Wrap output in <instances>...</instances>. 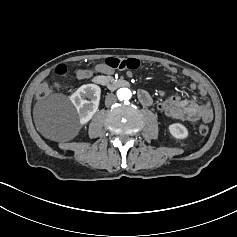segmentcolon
Instances as JSON below:
<instances>
[{"label": "colon", "instance_id": "1", "mask_svg": "<svg viewBox=\"0 0 237 237\" xmlns=\"http://www.w3.org/2000/svg\"><path fill=\"white\" fill-rule=\"evenodd\" d=\"M105 64L114 70L120 71H133L140 68V61L135 58H128V59H119V58H107L105 60ZM67 69L65 67H61L58 71L60 75H66ZM51 93V88L48 84L43 83L40 85L37 91V97L39 99H43L47 97ZM209 128L205 124H201L198 127V132L200 135L205 136L207 135Z\"/></svg>", "mask_w": 237, "mask_h": 237}]
</instances>
